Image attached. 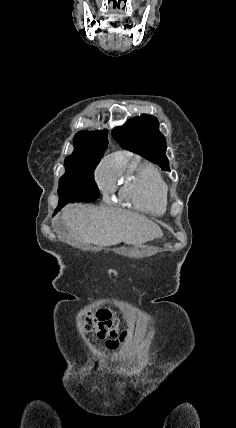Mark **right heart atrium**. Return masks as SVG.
I'll return each mask as SVG.
<instances>
[{
    "label": "right heart atrium",
    "instance_id": "d8ad5b80",
    "mask_svg": "<svg viewBox=\"0 0 236 428\" xmlns=\"http://www.w3.org/2000/svg\"><path fill=\"white\" fill-rule=\"evenodd\" d=\"M96 182L104 198H108L115 189L116 178L106 164H102L96 172Z\"/></svg>",
    "mask_w": 236,
    "mask_h": 428
}]
</instances>
